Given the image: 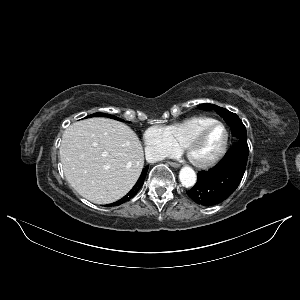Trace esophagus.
I'll list each match as a JSON object with an SVG mask.
<instances>
[{
  "label": "esophagus",
  "instance_id": "esophagus-1",
  "mask_svg": "<svg viewBox=\"0 0 300 300\" xmlns=\"http://www.w3.org/2000/svg\"><path fill=\"white\" fill-rule=\"evenodd\" d=\"M169 165L172 166V167H175V168L180 167V164L177 163V162H169Z\"/></svg>",
  "mask_w": 300,
  "mask_h": 300
}]
</instances>
